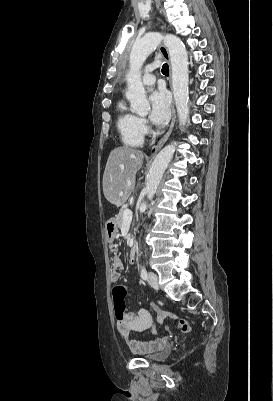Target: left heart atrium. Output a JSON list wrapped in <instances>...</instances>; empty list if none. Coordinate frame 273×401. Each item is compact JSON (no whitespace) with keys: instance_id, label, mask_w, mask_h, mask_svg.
<instances>
[{"instance_id":"obj_1","label":"left heart atrium","mask_w":273,"mask_h":401,"mask_svg":"<svg viewBox=\"0 0 273 401\" xmlns=\"http://www.w3.org/2000/svg\"><path fill=\"white\" fill-rule=\"evenodd\" d=\"M149 118L157 126L165 124L170 116V101L165 93L155 92L150 95Z\"/></svg>"}]
</instances>
